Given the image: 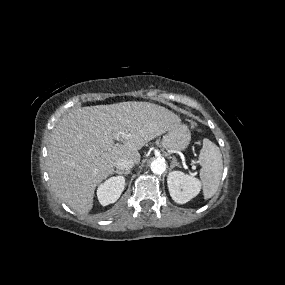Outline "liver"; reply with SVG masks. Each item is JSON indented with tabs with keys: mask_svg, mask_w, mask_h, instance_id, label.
Instances as JSON below:
<instances>
[{
	"mask_svg": "<svg viewBox=\"0 0 285 285\" xmlns=\"http://www.w3.org/2000/svg\"><path fill=\"white\" fill-rule=\"evenodd\" d=\"M178 124L175 113L149 102L72 110L50 138L47 164L52 189L78 213H89L96 186L114 172L116 162L139 163L138 150ZM116 134L121 143L115 142Z\"/></svg>",
	"mask_w": 285,
	"mask_h": 285,
	"instance_id": "6515ba94",
	"label": "liver"
}]
</instances>
